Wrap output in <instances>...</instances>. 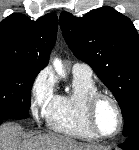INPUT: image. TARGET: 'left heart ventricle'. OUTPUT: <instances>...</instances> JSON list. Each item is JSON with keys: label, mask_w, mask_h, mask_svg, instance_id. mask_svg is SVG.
Listing matches in <instances>:
<instances>
[{"label": "left heart ventricle", "mask_w": 139, "mask_h": 150, "mask_svg": "<svg viewBox=\"0 0 139 150\" xmlns=\"http://www.w3.org/2000/svg\"><path fill=\"white\" fill-rule=\"evenodd\" d=\"M96 124L105 135L113 134L118 127V117L114 106L108 100H102L96 110Z\"/></svg>", "instance_id": "left-heart-ventricle-1"}]
</instances>
